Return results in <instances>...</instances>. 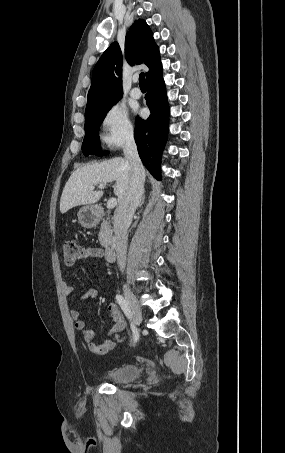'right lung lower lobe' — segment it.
Returning <instances> with one entry per match:
<instances>
[{"mask_svg": "<svg viewBox=\"0 0 285 453\" xmlns=\"http://www.w3.org/2000/svg\"><path fill=\"white\" fill-rule=\"evenodd\" d=\"M145 96L151 115L137 118L134 138L139 156L149 172L160 180V160L168 133L169 108L162 69L147 79Z\"/></svg>", "mask_w": 285, "mask_h": 453, "instance_id": "obj_1", "label": "right lung lower lobe"}]
</instances>
